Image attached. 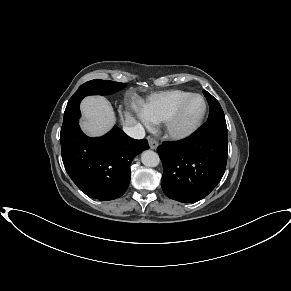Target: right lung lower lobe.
Returning a JSON list of instances; mask_svg holds the SVG:
<instances>
[{
  "label": "right lung lower lobe",
  "instance_id": "98d812e1",
  "mask_svg": "<svg viewBox=\"0 0 291 291\" xmlns=\"http://www.w3.org/2000/svg\"><path fill=\"white\" fill-rule=\"evenodd\" d=\"M79 115L64 117L60 133L64 167L78 188L100 201L122 196L130 182V165L136 155L149 148L146 139L135 140L115 126L99 138L86 136Z\"/></svg>",
  "mask_w": 291,
  "mask_h": 291
}]
</instances>
